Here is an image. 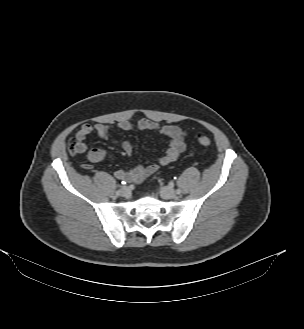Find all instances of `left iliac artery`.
<instances>
[{
    "instance_id": "44dca946",
    "label": "left iliac artery",
    "mask_w": 304,
    "mask_h": 329,
    "mask_svg": "<svg viewBox=\"0 0 304 329\" xmlns=\"http://www.w3.org/2000/svg\"><path fill=\"white\" fill-rule=\"evenodd\" d=\"M180 193H181V190H180V189H178V190H177V194H180Z\"/></svg>"
}]
</instances>
